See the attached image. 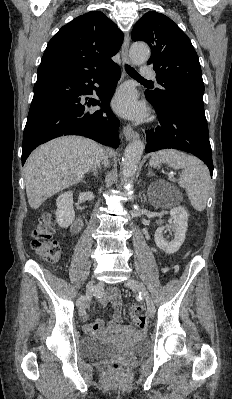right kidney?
Returning <instances> with one entry per match:
<instances>
[{
  "label": "right kidney",
  "instance_id": "obj_1",
  "mask_svg": "<svg viewBox=\"0 0 232 399\" xmlns=\"http://www.w3.org/2000/svg\"><path fill=\"white\" fill-rule=\"evenodd\" d=\"M56 221L61 227H68L75 217L72 192H64L56 200Z\"/></svg>",
  "mask_w": 232,
  "mask_h": 399
}]
</instances>
